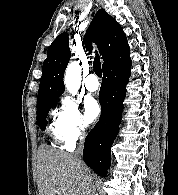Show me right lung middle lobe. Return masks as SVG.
Listing matches in <instances>:
<instances>
[{
	"mask_svg": "<svg viewBox=\"0 0 178 195\" xmlns=\"http://www.w3.org/2000/svg\"><path fill=\"white\" fill-rule=\"evenodd\" d=\"M55 102V100H51L37 106V124L41 130L46 129V117Z\"/></svg>",
	"mask_w": 178,
	"mask_h": 195,
	"instance_id": "dd1d6c3e",
	"label": "right lung middle lobe"
}]
</instances>
